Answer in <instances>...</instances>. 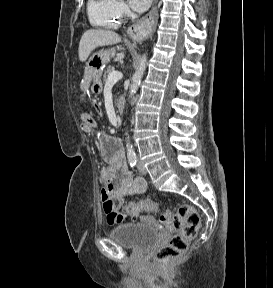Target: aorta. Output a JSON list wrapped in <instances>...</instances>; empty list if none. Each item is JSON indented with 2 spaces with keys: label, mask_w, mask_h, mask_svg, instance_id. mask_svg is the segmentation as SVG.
Here are the masks:
<instances>
[{
  "label": "aorta",
  "mask_w": 273,
  "mask_h": 288,
  "mask_svg": "<svg viewBox=\"0 0 273 288\" xmlns=\"http://www.w3.org/2000/svg\"><path fill=\"white\" fill-rule=\"evenodd\" d=\"M146 65H147V56L146 54H144L140 58L138 67L132 76V83H131L130 90H129V99L132 98L136 94L138 87L141 83V79L143 77L144 71L146 69ZM126 148H127L128 154H132L134 152L133 147L129 141H127Z\"/></svg>",
  "instance_id": "obj_1"
}]
</instances>
